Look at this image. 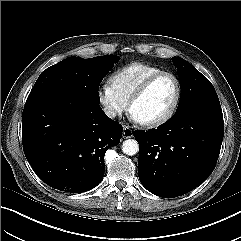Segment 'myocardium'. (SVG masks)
<instances>
[{
  "label": "myocardium",
  "mask_w": 241,
  "mask_h": 241,
  "mask_svg": "<svg viewBox=\"0 0 241 241\" xmlns=\"http://www.w3.org/2000/svg\"><path fill=\"white\" fill-rule=\"evenodd\" d=\"M163 76L171 77L174 80L175 85H176V94H175V98H174V101H173L171 107L169 108V110L163 116H161L158 119H155V120H152V121H149V122L137 121L132 115V109H133L134 105L136 104V102H138L146 94V92L153 85V83ZM181 95H182L181 82H180L179 78L174 73L169 72V71L157 72V73L151 75L150 77H148L138 87V89L134 92V94L130 98V100H129L130 115L137 123H139L141 126H143L145 128H148V129L158 128V127L164 125L165 123H167L168 121H170L172 119V117L175 115V113H176V111L179 107V104H180Z\"/></svg>",
  "instance_id": "1"
}]
</instances>
